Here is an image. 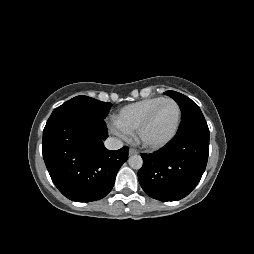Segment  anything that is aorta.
<instances>
[{
	"label": "aorta",
	"mask_w": 254,
	"mask_h": 254,
	"mask_svg": "<svg viewBox=\"0 0 254 254\" xmlns=\"http://www.w3.org/2000/svg\"><path fill=\"white\" fill-rule=\"evenodd\" d=\"M129 166L133 169H140L143 165V159L140 155H133L128 159Z\"/></svg>",
	"instance_id": "762f6f07"
}]
</instances>
